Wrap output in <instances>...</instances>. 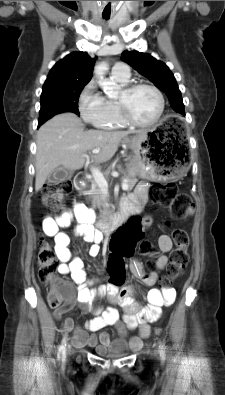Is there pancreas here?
Masks as SVG:
<instances>
[{
    "label": "pancreas",
    "instance_id": "cf45deb5",
    "mask_svg": "<svg viewBox=\"0 0 225 395\" xmlns=\"http://www.w3.org/2000/svg\"><path fill=\"white\" fill-rule=\"evenodd\" d=\"M123 182H126L128 184L129 187L127 190L130 191L133 189L135 184L138 182V179L135 176L132 177V176L127 175L124 177ZM86 194L92 198L93 207H98L99 209H101V207L106 205L104 203V196H103L102 190L98 186V184L96 183V181L94 179L91 180V190L89 192H87Z\"/></svg>",
    "mask_w": 225,
    "mask_h": 395
}]
</instances>
